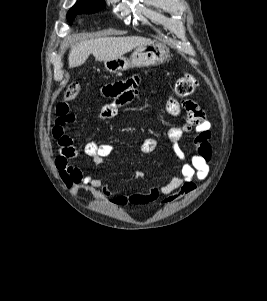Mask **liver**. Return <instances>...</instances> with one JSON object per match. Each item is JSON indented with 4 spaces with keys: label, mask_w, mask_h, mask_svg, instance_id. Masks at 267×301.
<instances>
[{
    "label": "liver",
    "mask_w": 267,
    "mask_h": 301,
    "mask_svg": "<svg viewBox=\"0 0 267 301\" xmlns=\"http://www.w3.org/2000/svg\"><path fill=\"white\" fill-rule=\"evenodd\" d=\"M150 41V39L139 36L103 37L82 41L76 46H72L69 52V68L81 66L90 54L97 61H110L120 58L132 49Z\"/></svg>",
    "instance_id": "liver-1"
}]
</instances>
